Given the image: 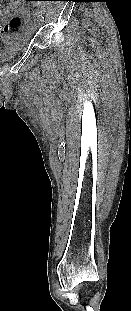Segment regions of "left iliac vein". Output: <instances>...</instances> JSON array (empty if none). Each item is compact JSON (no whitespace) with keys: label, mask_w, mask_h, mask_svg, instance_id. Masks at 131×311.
<instances>
[{"label":"left iliac vein","mask_w":131,"mask_h":311,"mask_svg":"<svg viewBox=\"0 0 131 311\" xmlns=\"http://www.w3.org/2000/svg\"><path fill=\"white\" fill-rule=\"evenodd\" d=\"M42 21H43L42 19H39V20H38V23H39V24H41V23H42Z\"/></svg>","instance_id":"left-iliac-vein-1"}]
</instances>
